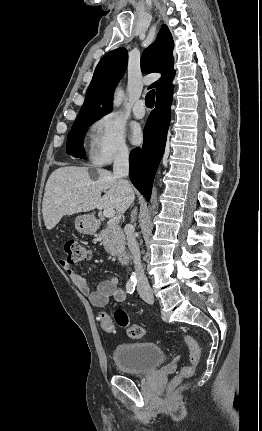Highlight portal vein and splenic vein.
Wrapping results in <instances>:
<instances>
[{
  "instance_id": "portal-vein-and-splenic-vein-1",
  "label": "portal vein and splenic vein",
  "mask_w": 262,
  "mask_h": 431,
  "mask_svg": "<svg viewBox=\"0 0 262 431\" xmlns=\"http://www.w3.org/2000/svg\"><path fill=\"white\" fill-rule=\"evenodd\" d=\"M103 215L106 217V218H111L112 219V221H114L115 220V210L113 209V208H107V209H104V211H103Z\"/></svg>"
}]
</instances>
